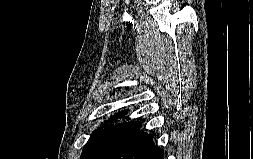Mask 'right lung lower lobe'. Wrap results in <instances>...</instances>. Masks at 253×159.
<instances>
[{
    "label": "right lung lower lobe",
    "instance_id": "obj_1",
    "mask_svg": "<svg viewBox=\"0 0 253 159\" xmlns=\"http://www.w3.org/2000/svg\"><path fill=\"white\" fill-rule=\"evenodd\" d=\"M140 127L141 125L94 159H163L164 150L155 146L152 136L142 132Z\"/></svg>",
    "mask_w": 253,
    "mask_h": 159
}]
</instances>
